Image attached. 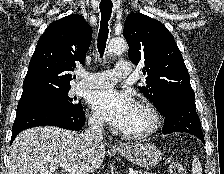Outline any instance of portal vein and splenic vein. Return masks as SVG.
<instances>
[{
  "label": "portal vein and splenic vein",
  "instance_id": "portal-vein-and-splenic-vein-1",
  "mask_svg": "<svg viewBox=\"0 0 224 174\" xmlns=\"http://www.w3.org/2000/svg\"><path fill=\"white\" fill-rule=\"evenodd\" d=\"M59 166L68 171L70 174H85V172L79 169L78 165L60 164ZM129 174H138V172L130 170Z\"/></svg>",
  "mask_w": 224,
  "mask_h": 174
}]
</instances>
